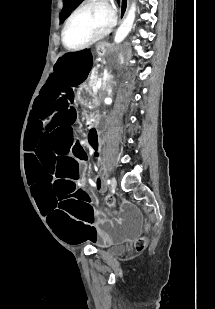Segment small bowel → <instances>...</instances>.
Returning <instances> with one entry per match:
<instances>
[{"label": "small bowel", "mask_w": 215, "mask_h": 309, "mask_svg": "<svg viewBox=\"0 0 215 309\" xmlns=\"http://www.w3.org/2000/svg\"><path fill=\"white\" fill-rule=\"evenodd\" d=\"M93 125H90L89 122H88V128L89 129H93ZM91 141L93 142V145L95 148H99V141H98V138H97V135H96V132L92 133L91 134ZM98 187L100 188L101 187V184L100 182L98 183Z\"/></svg>", "instance_id": "obj_1"}]
</instances>
